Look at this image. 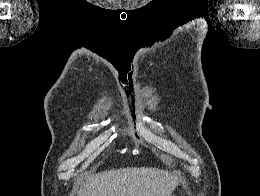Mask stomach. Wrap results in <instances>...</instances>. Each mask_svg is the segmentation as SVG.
<instances>
[{
    "label": "stomach",
    "mask_w": 260,
    "mask_h": 196,
    "mask_svg": "<svg viewBox=\"0 0 260 196\" xmlns=\"http://www.w3.org/2000/svg\"><path fill=\"white\" fill-rule=\"evenodd\" d=\"M165 196H172V194L171 193H166Z\"/></svg>",
    "instance_id": "stomach-1"
}]
</instances>
